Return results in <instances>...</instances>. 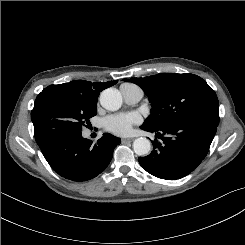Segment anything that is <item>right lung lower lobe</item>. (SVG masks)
Here are the masks:
<instances>
[{"instance_id":"1","label":"right lung lower lobe","mask_w":245,"mask_h":245,"mask_svg":"<svg viewBox=\"0 0 245 245\" xmlns=\"http://www.w3.org/2000/svg\"><path fill=\"white\" fill-rule=\"evenodd\" d=\"M120 138L105 133L95 144L81 132L56 134L39 145L51 168L60 176L77 182L90 180L109 165Z\"/></svg>"}]
</instances>
